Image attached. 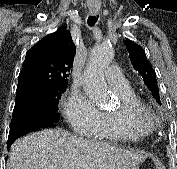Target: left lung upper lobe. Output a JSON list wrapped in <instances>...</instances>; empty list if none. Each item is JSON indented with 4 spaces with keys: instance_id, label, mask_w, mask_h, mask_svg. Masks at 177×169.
I'll return each instance as SVG.
<instances>
[{
    "instance_id": "left-lung-upper-lobe-1",
    "label": "left lung upper lobe",
    "mask_w": 177,
    "mask_h": 169,
    "mask_svg": "<svg viewBox=\"0 0 177 169\" xmlns=\"http://www.w3.org/2000/svg\"><path fill=\"white\" fill-rule=\"evenodd\" d=\"M124 44L129 52L130 60L134 69L138 71L146 86L152 91L155 99L161 105L156 73L146 59L144 49L130 40L124 41Z\"/></svg>"
}]
</instances>
